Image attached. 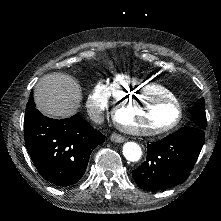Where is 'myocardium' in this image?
<instances>
[{"label":"myocardium","instance_id":"myocardium-1","mask_svg":"<svg viewBox=\"0 0 221 221\" xmlns=\"http://www.w3.org/2000/svg\"><path fill=\"white\" fill-rule=\"evenodd\" d=\"M172 103L174 109V115L172 117L171 122L168 125H164L162 127H157V128H152L151 126H146L144 129H142L141 131H138V128L136 126H127L126 124H123L121 122V119L119 117V114L121 112L122 107L123 108H128V107H143V103ZM182 104L179 103L178 99L173 100L171 98L163 94H155V95H151V94H142V95H133L132 97L129 98H123L120 100V102H115L113 104V106L111 107V109L108 112V117L110 119L111 125L113 128L117 129L119 134L121 136H125V137H134V138H144L147 135L150 136H159L161 134H164L166 132H169L171 130L172 127H175L179 124L180 119H181V115H182Z\"/></svg>","mask_w":221,"mask_h":221}]
</instances>
